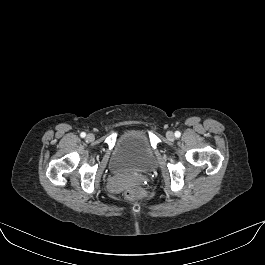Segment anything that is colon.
I'll list each match as a JSON object with an SVG mask.
<instances>
[{
  "label": "colon",
  "mask_w": 265,
  "mask_h": 265,
  "mask_svg": "<svg viewBox=\"0 0 265 265\" xmlns=\"http://www.w3.org/2000/svg\"><path fill=\"white\" fill-rule=\"evenodd\" d=\"M125 196L129 200H136L141 196V192L136 188H129L126 190Z\"/></svg>",
  "instance_id": "obj_1"
}]
</instances>
